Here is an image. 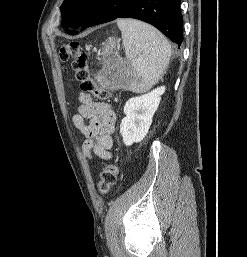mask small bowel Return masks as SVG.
I'll use <instances>...</instances> for the list:
<instances>
[{
    "instance_id": "1",
    "label": "small bowel",
    "mask_w": 247,
    "mask_h": 257,
    "mask_svg": "<svg viewBox=\"0 0 247 257\" xmlns=\"http://www.w3.org/2000/svg\"><path fill=\"white\" fill-rule=\"evenodd\" d=\"M79 98L81 106L73 121L85 136L82 145L83 154L87 159H91L93 155L109 159L113 146L112 133L115 129L116 114L110 104L95 102L88 94L82 93Z\"/></svg>"
}]
</instances>
